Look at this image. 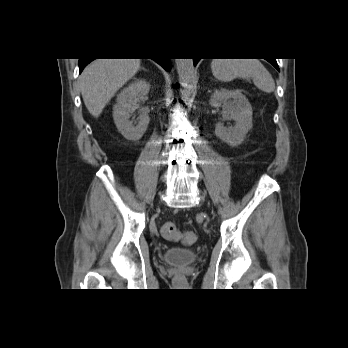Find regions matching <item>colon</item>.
<instances>
[{
	"instance_id": "colon-1",
	"label": "colon",
	"mask_w": 348,
	"mask_h": 348,
	"mask_svg": "<svg viewBox=\"0 0 348 348\" xmlns=\"http://www.w3.org/2000/svg\"><path fill=\"white\" fill-rule=\"evenodd\" d=\"M161 234L167 240H183L188 245H193L197 242V235L194 231H188L181 234L176 225L172 222L163 223L161 226Z\"/></svg>"
}]
</instances>
